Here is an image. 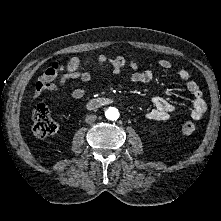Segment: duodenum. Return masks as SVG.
I'll return each mask as SVG.
<instances>
[{"mask_svg": "<svg viewBox=\"0 0 221 221\" xmlns=\"http://www.w3.org/2000/svg\"><path fill=\"white\" fill-rule=\"evenodd\" d=\"M109 102H110V99H108V98L91 99L87 102V108H89V109L97 108V107L103 106Z\"/></svg>", "mask_w": 221, "mask_h": 221, "instance_id": "obj_1", "label": "duodenum"}]
</instances>
